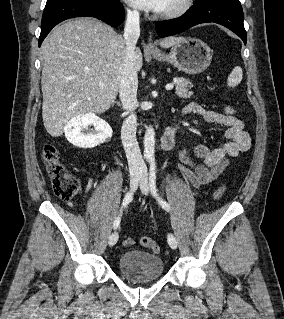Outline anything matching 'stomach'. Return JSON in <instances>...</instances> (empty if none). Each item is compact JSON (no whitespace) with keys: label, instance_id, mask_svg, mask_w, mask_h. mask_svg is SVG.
I'll return each mask as SVG.
<instances>
[{"label":"stomach","instance_id":"stomach-1","mask_svg":"<svg viewBox=\"0 0 284 319\" xmlns=\"http://www.w3.org/2000/svg\"><path fill=\"white\" fill-rule=\"evenodd\" d=\"M151 55L154 59L166 61L187 74L201 73L212 60L210 47L194 37H181V40L172 46L169 54L159 52Z\"/></svg>","mask_w":284,"mask_h":319}]
</instances>
